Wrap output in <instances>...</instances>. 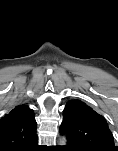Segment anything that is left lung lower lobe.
<instances>
[{
    "instance_id": "left-lung-lower-lobe-1",
    "label": "left lung lower lobe",
    "mask_w": 118,
    "mask_h": 151,
    "mask_svg": "<svg viewBox=\"0 0 118 151\" xmlns=\"http://www.w3.org/2000/svg\"><path fill=\"white\" fill-rule=\"evenodd\" d=\"M64 151H80L77 146L72 143L70 140H68V143L66 146L62 147Z\"/></svg>"
}]
</instances>
